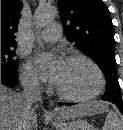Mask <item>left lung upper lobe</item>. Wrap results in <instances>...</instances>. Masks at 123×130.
<instances>
[{
	"label": "left lung upper lobe",
	"instance_id": "left-lung-upper-lobe-1",
	"mask_svg": "<svg viewBox=\"0 0 123 130\" xmlns=\"http://www.w3.org/2000/svg\"><path fill=\"white\" fill-rule=\"evenodd\" d=\"M60 18L71 43L91 57L106 77L103 100L123 108L115 68L114 26L102 0H58Z\"/></svg>",
	"mask_w": 123,
	"mask_h": 130
}]
</instances>
